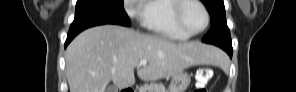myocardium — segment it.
<instances>
[{
	"instance_id": "obj_1",
	"label": "myocardium",
	"mask_w": 296,
	"mask_h": 92,
	"mask_svg": "<svg viewBox=\"0 0 296 92\" xmlns=\"http://www.w3.org/2000/svg\"><path fill=\"white\" fill-rule=\"evenodd\" d=\"M191 2L198 4L202 8V10H203V12L205 14V19H206L205 20V25L203 26V28L200 29L199 31H196V32L189 31L185 27V25L183 23V20H182V12H183L184 8L188 3H191ZM173 19H174V22H175L176 26L184 34H186L189 37H193V36L201 34L202 32H204L207 29V27H208V25L210 23L209 12H208L207 8L205 7V5L199 0H182V1H178L177 4L175 5L174 11H173Z\"/></svg>"
}]
</instances>
